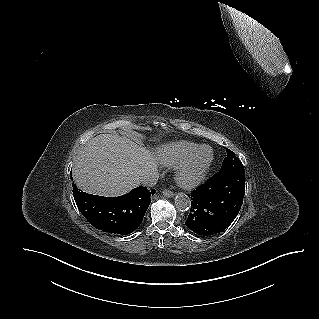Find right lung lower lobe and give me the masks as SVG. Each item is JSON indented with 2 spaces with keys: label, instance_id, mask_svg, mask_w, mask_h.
Returning <instances> with one entry per match:
<instances>
[{
  "label": "right lung lower lobe",
  "instance_id": "1",
  "mask_svg": "<svg viewBox=\"0 0 319 319\" xmlns=\"http://www.w3.org/2000/svg\"><path fill=\"white\" fill-rule=\"evenodd\" d=\"M77 207L95 228L114 234L132 233L141 224L155 193L145 187H137L118 197L91 195L73 185Z\"/></svg>",
  "mask_w": 319,
  "mask_h": 319
}]
</instances>
